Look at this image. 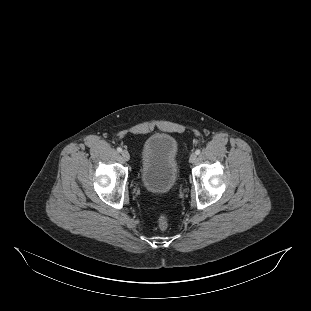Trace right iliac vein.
Listing matches in <instances>:
<instances>
[{"mask_svg": "<svg viewBox=\"0 0 311 311\" xmlns=\"http://www.w3.org/2000/svg\"><path fill=\"white\" fill-rule=\"evenodd\" d=\"M122 157L125 161H128L130 159V154L127 150L122 151Z\"/></svg>", "mask_w": 311, "mask_h": 311, "instance_id": "obj_1", "label": "right iliac vein"}]
</instances>
